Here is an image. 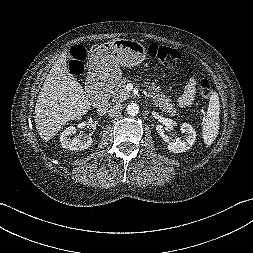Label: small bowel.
<instances>
[{
    "mask_svg": "<svg viewBox=\"0 0 253 253\" xmlns=\"http://www.w3.org/2000/svg\"><path fill=\"white\" fill-rule=\"evenodd\" d=\"M195 90H196L195 81L192 79L187 84L184 93L179 99L180 106L185 107V106L190 105L193 102L194 97H195Z\"/></svg>",
    "mask_w": 253,
    "mask_h": 253,
    "instance_id": "c3829d8e",
    "label": "small bowel"
}]
</instances>
